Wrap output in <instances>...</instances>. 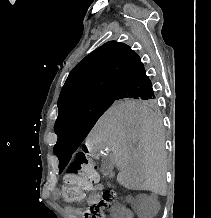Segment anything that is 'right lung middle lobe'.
Wrapping results in <instances>:
<instances>
[{"label": "right lung middle lobe", "mask_w": 211, "mask_h": 218, "mask_svg": "<svg viewBox=\"0 0 211 218\" xmlns=\"http://www.w3.org/2000/svg\"><path fill=\"white\" fill-rule=\"evenodd\" d=\"M110 107L157 110L158 100L156 97L109 95L81 102L58 115L55 122V133L58 135L57 144L78 147L99 117Z\"/></svg>", "instance_id": "1"}]
</instances>
